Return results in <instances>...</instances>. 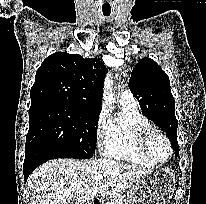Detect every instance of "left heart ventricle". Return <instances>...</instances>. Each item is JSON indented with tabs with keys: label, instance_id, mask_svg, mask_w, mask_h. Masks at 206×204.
Masks as SVG:
<instances>
[{
	"label": "left heart ventricle",
	"instance_id": "b2bd125f",
	"mask_svg": "<svg viewBox=\"0 0 206 204\" xmlns=\"http://www.w3.org/2000/svg\"><path fill=\"white\" fill-rule=\"evenodd\" d=\"M149 151L152 156L159 161L166 160L169 154L166 142L158 135L151 137L149 141Z\"/></svg>",
	"mask_w": 206,
	"mask_h": 204
}]
</instances>
